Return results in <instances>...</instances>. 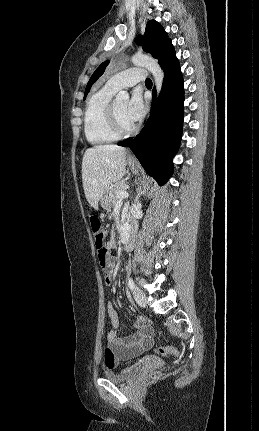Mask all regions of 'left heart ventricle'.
Listing matches in <instances>:
<instances>
[{
    "mask_svg": "<svg viewBox=\"0 0 259 431\" xmlns=\"http://www.w3.org/2000/svg\"><path fill=\"white\" fill-rule=\"evenodd\" d=\"M127 101L126 100H117L114 102L115 111L118 116V119L121 125L125 128L131 127L133 124L127 119L125 115Z\"/></svg>",
    "mask_w": 259,
    "mask_h": 431,
    "instance_id": "b2bd125f",
    "label": "left heart ventricle"
}]
</instances>
